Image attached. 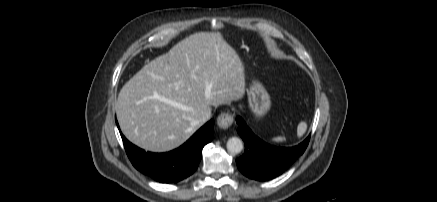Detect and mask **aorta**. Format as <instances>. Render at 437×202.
<instances>
[{
    "mask_svg": "<svg viewBox=\"0 0 437 202\" xmlns=\"http://www.w3.org/2000/svg\"><path fill=\"white\" fill-rule=\"evenodd\" d=\"M243 149L242 141L237 137H232L227 141V150L230 153L238 154Z\"/></svg>",
    "mask_w": 437,
    "mask_h": 202,
    "instance_id": "1",
    "label": "aorta"
}]
</instances>
